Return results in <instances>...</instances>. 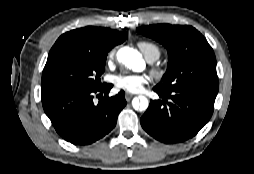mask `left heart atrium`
Wrapping results in <instances>:
<instances>
[{"label":"left heart atrium","mask_w":254,"mask_h":174,"mask_svg":"<svg viewBox=\"0 0 254 174\" xmlns=\"http://www.w3.org/2000/svg\"><path fill=\"white\" fill-rule=\"evenodd\" d=\"M149 81L148 77L140 74L124 73L114 78L117 88L130 93L140 92Z\"/></svg>","instance_id":"obj_1"}]
</instances>
